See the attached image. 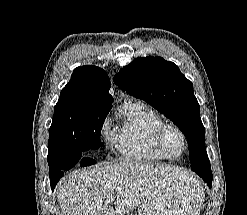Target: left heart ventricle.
<instances>
[{
  "mask_svg": "<svg viewBox=\"0 0 247 215\" xmlns=\"http://www.w3.org/2000/svg\"><path fill=\"white\" fill-rule=\"evenodd\" d=\"M166 146L170 153L179 154L182 150V140L175 131H169L166 135Z\"/></svg>",
  "mask_w": 247,
  "mask_h": 215,
  "instance_id": "b2bd125f",
  "label": "left heart ventricle"
}]
</instances>
